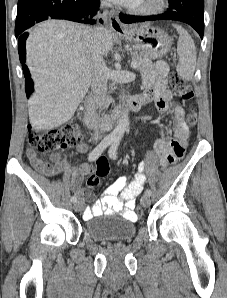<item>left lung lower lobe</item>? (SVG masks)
I'll list each match as a JSON object with an SVG mask.
<instances>
[{"label":"left lung lower lobe","mask_w":227,"mask_h":298,"mask_svg":"<svg viewBox=\"0 0 227 298\" xmlns=\"http://www.w3.org/2000/svg\"><path fill=\"white\" fill-rule=\"evenodd\" d=\"M170 8L160 15L128 16L120 14L123 23L155 20H176L191 25L200 35L204 34V0H169Z\"/></svg>","instance_id":"0a47b994"}]
</instances>
